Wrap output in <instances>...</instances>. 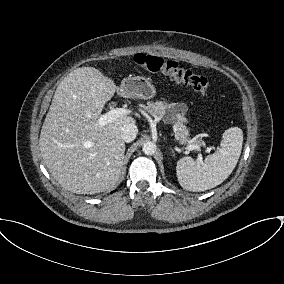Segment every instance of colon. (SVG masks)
Returning <instances> with one entry per match:
<instances>
[{"label": "colon", "instance_id": "5ec220e1", "mask_svg": "<svg viewBox=\"0 0 284 284\" xmlns=\"http://www.w3.org/2000/svg\"><path fill=\"white\" fill-rule=\"evenodd\" d=\"M134 62L147 71L164 73L175 82L190 87L201 95L207 94L209 90L208 80L204 76L180 67L173 60L148 54H137Z\"/></svg>", "mask_w": 284, "mask_h": 284}]
</instances>
